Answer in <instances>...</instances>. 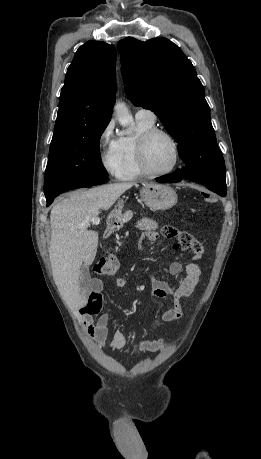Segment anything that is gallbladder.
<instances>
[{"label": "gallbladder", "mask_w": 261, "mask_h": 459, "mask_svg": "<svg viewBox=\"0 0 261 459\" xmlns=\"http://www.w3.org/2000/svg\"><path fill=\"white\" fill-rule=\"evenodd\" d=\"M91 278L89 275L88 270L85 267L81 268V275H80V286L83 290L86 291V294L89 292L91 288Z\"/></svg>", "instance_id": "gallbladder-1"}]
</instances>
